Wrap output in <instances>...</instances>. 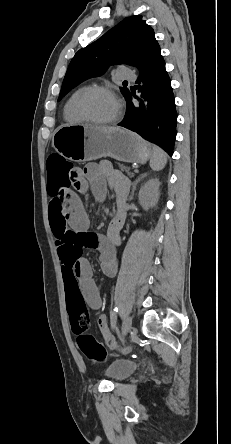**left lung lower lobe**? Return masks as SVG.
<instances>
[{
	"label": "left lung lower lobe",
	"instance_id": "1",
	"mask_svg": "<svg viewBox=\"0 0 231 444\" xmlns=\"http://www.w3.org/2000/svg\"><path fill=\"white\" fill-rule=\"evenodd\" d=\"M137 83L140 97L131 89L126 95L127 110L119 126L137 132L146 140L162 147L170 156L176 137L177 113L171 80L165 70L160 49L140 69ZM134 96L138 103L132 102Z\"/></svg>",
	"mask_w": 231,
	"mask_h": 444
}]
</instances>
